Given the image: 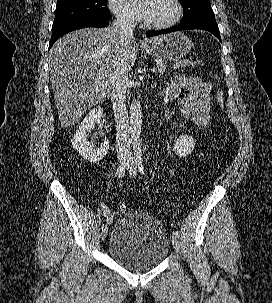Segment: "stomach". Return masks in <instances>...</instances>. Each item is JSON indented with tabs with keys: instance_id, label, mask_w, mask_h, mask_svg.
<instances>
[{
	"instance_id": "obj_1",
	"label": "stomach",
	"mask_w": 272,
	"mask_h": 303,
	"mask_svg": "<svg viewBox=\"0 0 272 303\" xmlns=\"http://www.w3.org/2000/svg\"><path fill=\"white\" fill-rule=\"evenodd\" d=\"M193 47V42L181 32L165 35L160 41L144 47L146 53L162 60H181Z\"/></svg>"
}]
</instances>
